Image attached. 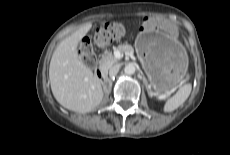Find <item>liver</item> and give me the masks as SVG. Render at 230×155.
Listing matches in <instances>:
<instances>
[{
	"instance_id": "1",
	"label": "liver",
	"mask_w": 230,
	"mask_h": 155,
	"mask_svg": "<svg viewBox=\"0 0 230 155\" xmlns=\"http://www.w3.org/2000/svg\"><path fill=\"white\" fill-rule=\"evenodd\" d=\"M92 23L82 25L55 49L49 67L52 93L64 108L87 113L103 99L102 82L80 59L77 47L91 29Z\"/></svg>"
}]
</instances>
